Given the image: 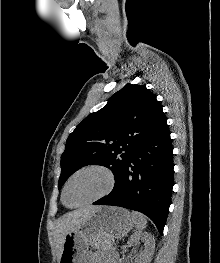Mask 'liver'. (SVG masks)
<instances>
[{"label":"liver","mask_w":220,"mask_h":263,"mask_svg":"<svg viewBox=\"0 0 220 263\" xmlns=\"http://www.w3.org/2000/svg\"><path fill=\"white\" fill-rule=\"evenodd\" d=\"M101 208L100 206H86L79 208L72 212H69L62 217H60L54 227V238L56 241L57 248L62 249V244L65 238V235L73 231L81 223L90 218V216L97 209Z\"/></svg>","instance_id":"obj_1"}]
</instances>
